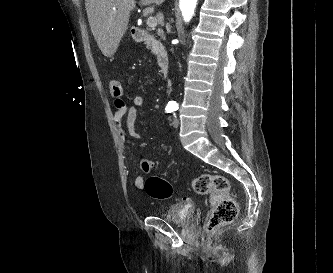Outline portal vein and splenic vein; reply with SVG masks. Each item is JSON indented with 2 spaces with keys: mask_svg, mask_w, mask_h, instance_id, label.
Wrapping results in <instances>:
<instances>
[{
  "mask_svg": "<svg viewBox=\"0 0 333 273\" xmlns=\"http://www.w3.org/2000/svg\"><path fill=\"white\" fill-rule=\"evenodd\" d=\"M113 10H115V8H113ZM146 23H147L148 27H150V28H154L157 26V20L155 17H151V16L148 17Z\"/></svg>",
  "mask_w": 333,
  "mask_h": 273,
  "instance_id": "1",
  "label": "portal vein and splenic vein"
}]
</instances>
